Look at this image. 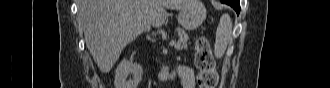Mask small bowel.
<instances>
[{
    "label": "small bowel",
    "mask_w": 330,
    "mask_h": 88,
    "mask_svg": "<svg viewBox=\"0 0 330 88\" xmlns=\"http://www.w3.org/2000/svg\"><path fill=\"white\" fill-rule=\"evenodd\" d=\"M172 77L178 79L183 88H194L195 86V76L194 72L190 67L178 66L170 72Z\"/></svg>",
    "instance_id": "obj_1"
}]
</instances>
